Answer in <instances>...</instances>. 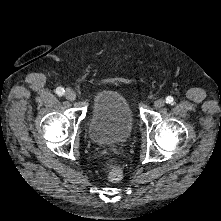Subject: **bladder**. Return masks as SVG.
<instances>
[{"label": "bladder", "instance_id": "31cf9c89", "mask_svg": "<svg viewBox=\"0 0 221 221\" xmlns=\"http://www.w3.org/2000/svg\"><path fill=\"white\" fill-rule=\"evenodd\" d=\"M133 114L123 94L105 90L94 100L88 120V132L98 144L125 142L133 128Z\"/></svg>", "mask_w": 221, "mask_h": 221}]
</instances>
